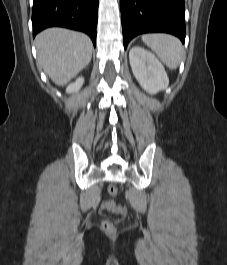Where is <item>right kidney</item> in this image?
Instances as JSON below:
<instances>
[{
  "label": "right kidney",
  "instance_id": "1",
  "mask_svg": "<svg viewBox=\"0 0 227 265\" xmlns=\"http://www.w3.org/2000/svg\"><path fill=\"white\" fill-rule=\"evenodd\" d=\"M83 83H84L83 77L77 78L75 82L68 85V87L66 88V92L67 93L77 92L82 87Z\"/></svg>",
  "mask_w": 227,
  "mask_h": 265
}]
</instances>
